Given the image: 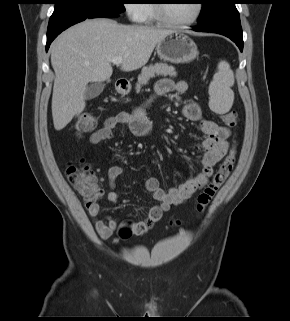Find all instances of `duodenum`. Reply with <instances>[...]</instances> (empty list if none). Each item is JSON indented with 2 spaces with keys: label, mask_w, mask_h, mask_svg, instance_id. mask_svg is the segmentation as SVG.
<instances>
[{
  "label": "duodenum",
  "mask_w": 290,
  "mask_h": 321,
  "mask_svg": "<svg viewBox=\"0 0 290 321\" xmlns=\"http://www.w3.org/2000/svg\"><path fill=\"white\" fill-rule=\"evenodd\" d=\"M117 85H118V88L122 91H124L127 87V83L124 80H119Z\"/></svg>",
  "instance_id": "duodenum-1"
}]
</instances>
